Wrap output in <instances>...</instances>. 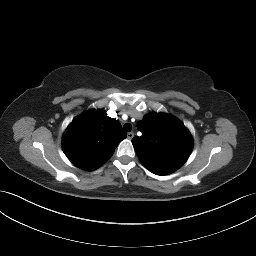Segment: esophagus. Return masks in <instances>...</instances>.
<instances>
[{"label": "esophagus", "instance_id": "1", "mask_svg": "<svg viewBox=\"0 0 256 256\" xmlns=\"http://www.w3.org/2000/svg\"><path fill=\"white\" fill-rule=\"evenodd\" d=\"M134 137V133L133 132H129L128 134H127V138L128 139H132Z\"/></svg>", "mask_w": 256, "mask_h": 256}]
</instances>
